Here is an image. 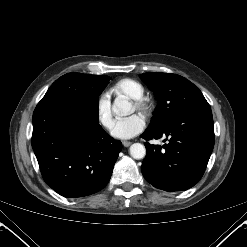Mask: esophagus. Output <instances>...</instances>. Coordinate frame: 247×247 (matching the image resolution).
Masks as SVG:
<instances>
[{
  "label": "esophagus",
  "instance_id": "34e87169",
  "mask_svg": "<svg viewBox=\"0 0 247 247\" xmlns=\"http://www.w3.org/2000/svg\"><path fill=\"white\" fill-rule=\"evenodd\" d=\"M122 144H123L124 147H129L132 144V142H130V141H123Z\"/></svg>",
  "mask_w": 247,
  "mask_h": 247
}]
</instances>
